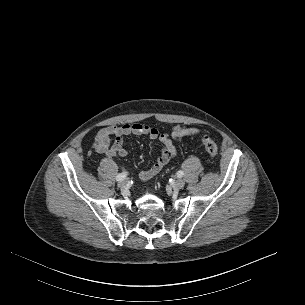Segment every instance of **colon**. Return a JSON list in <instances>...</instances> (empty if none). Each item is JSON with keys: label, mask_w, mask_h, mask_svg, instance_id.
Masks as SVG:
<instances>
[{"label": "colon", "mask_w": 305, "mask_h": 305, "mask_svg": "<svg viewBox=\"0 0 305 305\" xmlns=\"http://www.w3.org/2000/svg\"><path fill=\"white\" fill-rule=\"evenodd\" d=\"M201 141H202L206 151L208 152V154L211 157H215L217 155L218 148H217L216 143L212 140V138L208 135H202Z\"/></svg>", "instance_id": "colon-1"}]
</instances>
